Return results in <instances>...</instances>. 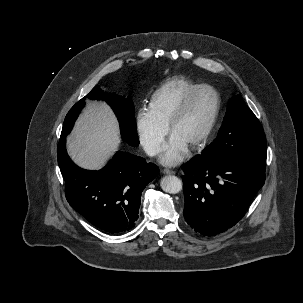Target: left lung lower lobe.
<instances>
[{
  "mask_svg": "<svg viewBox=\"0 0 303 303\" xmlns=\"http://www.w3.org/2000/svg\"><path fill=\"white\" fill-rule=\"evenodd\" d=\"M183 171L185 220L207 236L226 231L241 220L265 182V171L230 158L198 155Z\"/></svg>",
  "mask_w": 303,
  "mask_h": 303,
  "instance_id": "0a47b994",
  "label": "left lung lower lobe"
}]
</instances>
